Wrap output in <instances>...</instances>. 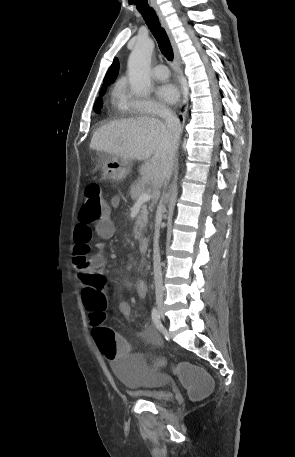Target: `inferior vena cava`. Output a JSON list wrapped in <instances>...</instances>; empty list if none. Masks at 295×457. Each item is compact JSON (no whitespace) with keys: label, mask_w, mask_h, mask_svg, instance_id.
I'll list each match as a JSON object with an SVG mask.
<instances>
[{"label":"inferior vena cava","mask_w":295,"mask_h":457,"mask_svg":"<svg viewBox=\"0 0 295 457\" xmlns=\"http://www.w3.org/2000/svg\"><path fill=\"white\" fill-rule=\"evenodd\" d=\"M160 117L165 120V124L167 125L168 129L171 132L172 138L177 141L179 138V134L181 131L180 121L177 116L170 110L164 109L160 113ZM171 168L168 169L164 187L167 186V181H169L171 177ZM162 212H163V205L162 201L157 209L156 213V226H155V233H154V245H153V268H154V283H155V293L156 298H163L164 287H163V278H162V271H161V257L159 251V236H160V223L162 221Z\"/></svg>","instance_id":"obj_1"}]
</instances>
